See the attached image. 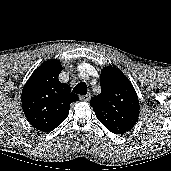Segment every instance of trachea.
Here are the masks:
<instances>
[{
	"label": "trachea",
	"instance_id": "3493384b",
	"mask_svg": "<svg viewBox=\"0 0 171 171\" xmlns=\"http://www.w3.org/2000/svg\"><path fill=\"white\" fill-rule=\"evenodd\" d=\"M73 91L77 94L85 95L87 94V85L85 82L78 83L74 88Z\"/></svg>",
	"mask_w": 171,
	"mask_h": 171
}]
</instances>
